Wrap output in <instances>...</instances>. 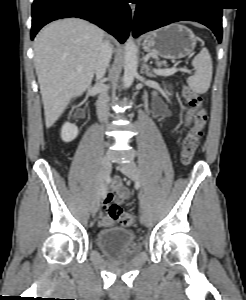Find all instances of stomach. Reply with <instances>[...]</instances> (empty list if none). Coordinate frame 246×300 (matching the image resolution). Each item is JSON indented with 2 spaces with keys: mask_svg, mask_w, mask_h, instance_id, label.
Masks as SVG:
<instances>
[{
  "mask_svg": "<svg viewBox=\"0 0 246 300\" xmlns=\"http://www.w3.org/2000/svg\"><path fill=\"white\" fill-rule=\"evenodd\" d=\"M197 38L188 27L173 23L148 33L143 48L153 56L180 59L189 55L196 46Z\"/></svg>",
  "mask_w": 246,
  "mask_h": 300,
  "instance_id": "1",
  "label": "stomach"
}]
</instances>
